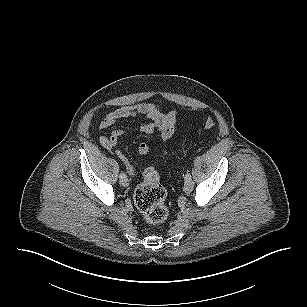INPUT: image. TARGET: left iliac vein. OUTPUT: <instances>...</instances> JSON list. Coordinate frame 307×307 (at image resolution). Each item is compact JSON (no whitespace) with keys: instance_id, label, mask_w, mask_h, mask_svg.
<instances>
[{"instance_id":"obj_1","label":"left iliac vein","mask_w":307,"mask_h":307,"mask_svg":"<svg viewBox=\"0 0 307 307\" xmlns=\"http://www.w3.org/2000/svg\"><path fill=\"white\" fill-rule=\"evenodd\" d=\"M193 187H194V182L192 181V179H185L184 190L191 191Z\"/></svg>"}]
</instances>
